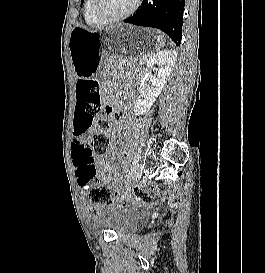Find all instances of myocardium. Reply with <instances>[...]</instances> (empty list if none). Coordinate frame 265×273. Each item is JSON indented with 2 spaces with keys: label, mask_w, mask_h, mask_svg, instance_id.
I'll return each mask as SVG.
<instances>
[{
  "label": "myocardium",
  "mask_w": 265,
  "mask_h": 273,
  "mask_svg": "<svg viewBox=\"0 0 265 273\" xmlns=\"http://www.w3.org/2000/svg\"><path fill=\"white\" fill-rule=\"evenodd\" d=\"M140 2H141V0H135L133 5L131 6V8L128 11H126L120 15L107 16L101 10L102 0H93L92 11H93V14L95 15V17L99 21H101L104 24H110V23H115V22L124 20V19L128 18L129 16H131L139 7Z\"/></svg>",
  "instance_id": "f54148a6"
}]
</instances>
